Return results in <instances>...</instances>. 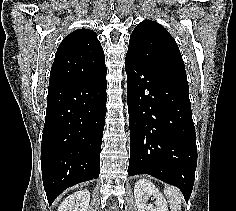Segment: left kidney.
Instances as JSON below:
<instances>
[{
  "label": "left kidney",
  "mask_w": 236,
  "mask_h": 211,
  "mask_svg": "<svg viewBox=\"0 0 236 211\" xmlns=\"http://www.w3.org/2000/svg\"><path fill=\"white\" fill-rule=\"evenodd\" d=\"M134 196L138 211H169L163 195L147 179H140L135 183ZM150 197L156 200L155 206L147 203Z\"/></svg>",
  "instance_id": "1"
}]
</instances>
